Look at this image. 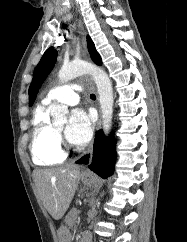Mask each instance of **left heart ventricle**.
<instances>
[{
	"label": "left heart ventricle",
	"instance_id": "1",
	"mask_svg": "<svg viewBox=\"0 0 187 242\" xmlns=\"http://www.w3.org/2000/svg\"><path fill=\"white\" fill-rule=\"evenodd\" d=\"M66 127V122L63 121L62 123L56 125V129H58L60 132H62Z\"/></svg>",
	"mask_w": 187,
	"mask_h": 242
}]
</instances>
